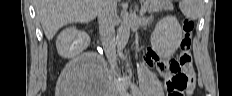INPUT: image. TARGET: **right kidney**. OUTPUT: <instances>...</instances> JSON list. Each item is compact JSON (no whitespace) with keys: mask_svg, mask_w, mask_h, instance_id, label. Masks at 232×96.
I'll return each instance as SVG.
<instances>
[{"mask_svg":"<svg viewBox=\"0 0 232 96\" xmlns=\"http://www.w3.org/2000/svg\"><path fill=\"white\" fill-rule=\"evenodd\" d=\"M89 41L86 33L70 27L58 35L56 47L61 57L70 59L77 57L88 46Z\"/></svg>","mask_w":232,"mask_h":96,"instance_id":"1","label":"right kidney"}]
</instances>
